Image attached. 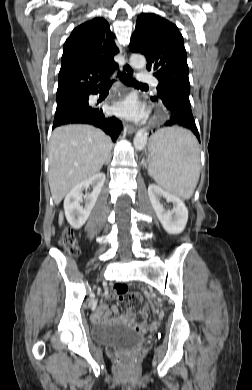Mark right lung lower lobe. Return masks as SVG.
Segmentation results:
<instances>
[{
  "label": "right lung lower lobe",
  "mask_w": 252,
  "mask_h": 390,
  "mask_svg": "<svg viewBox=\"0 0 252 390\" xmlns=\"http://www.w3.org/2000/svg\"><path fill=\"white\" fill-rule=\"evenodd\" d=\"M97 92L98 89L84 92L58 103L52 129L72 123L91 124L101 128L115 142L122 130V123L115 117L104 115L101 109L89 106V95Z\"/></svg>",
  "instance_id": "obj_1"
}]
</instances>
